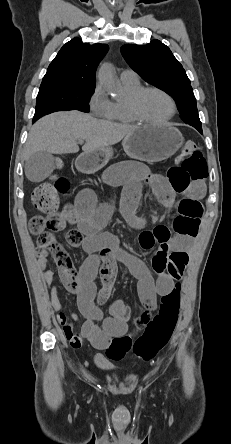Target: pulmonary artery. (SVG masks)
<instances>
[{"instance_id": "obj_1", "label": "pulmonary artery", "mask_w": 231, "mask_h": 444, "mask_svg": "<svg viewBox=\"0 0 231 444\" xmlns=\"http://www.w3.org/2000/svg\"><path fill=\"white\" fill-rule=\"evenodd\" d=\"M120 79L125 81H137L138 75L133 70H124L120 74Z\"/></svg>"}]
</instances>
